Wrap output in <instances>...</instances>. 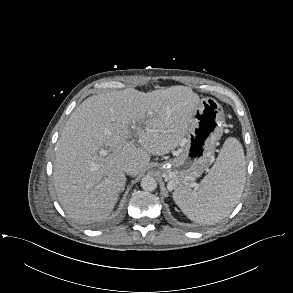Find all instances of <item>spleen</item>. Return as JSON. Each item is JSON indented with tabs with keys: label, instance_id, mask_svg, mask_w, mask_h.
Here are the masks:
<instances>
[{
	"label": "spleen",
	"instance_id": "spleen-1",
	"mask_svg": "<svg viewBox=\"0 0 293 293\" xmlns=\"http://www.w3.org/2000/svg\"><path fill=\"white\" fill-rule=\"evenodd\" d=\"M245 156L242 145L226 139L218 157L195 189L183 187L173 193L181 211L192 221L213 224L227 217L240 199L245 184Z\"/></svg>",
	"mask_w": 293,
	"mask_h": 293
}]
</instances>
